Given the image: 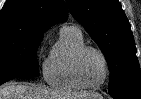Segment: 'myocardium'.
I'll use <instances>...</instances> for the list:
<instances>
[{
	"label": "myocardium",
	"instance_id": "f54148a6",
	"mask_svg": "<svg viewBox=\"0 0 141 99\" xmlns=\"http://www.w3.org/2000/svg\"><path fill=\"white\" fill-rule=\"evenodd\" d=\"M89 51L96 52L102 58L103 63H104V68H105L104 78L99 84H96V85L88 84L83 79L82 72H81L82 59H83L84 55ZM73 69H74V74H75L77 81L86 89L95 90V89L101 88L102 86L105 85V83L108 81L109 76H110V66H109V61H108L107 56L105 55V53L101 49H99L95 46H90V45H84L83 47H81L77 51V53L75 54V57H74Z\"/></svg>",
	"mask_w": 141,
	"mask_h": 99
}]
</instances>
